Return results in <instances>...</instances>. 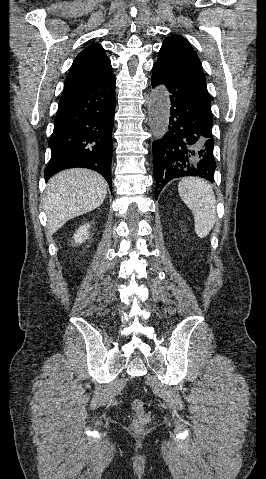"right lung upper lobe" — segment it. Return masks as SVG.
<instances>
[{
	"label": "right lung upper lobe",
	"mask_w": 266,
	"mask_h": 479,
	"mask_svg": "<svg viewBox=\"0 0 266 479\" xmlns=\"http://www.w3.org/2000/svg\"><path fill=\"white\" fill-rule=\"evenodd\" d=\"M113 75L109 58L100 44L94 43L75 58L64 86L81 85L106 79Z\"/></svg>",
	"instance_id": "obj_1"
}]
</instances>
